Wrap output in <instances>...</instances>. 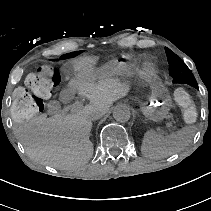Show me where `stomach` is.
<instances>
[{"mask_svg": "<svg viewBox=\"0 0 211 211\" xmlns=\"http://www.w3.org/2000/svg\"><path fill=\"white\" fill-rule=\"evenodd\" d=\"M126 76L130 75L131 71L126 66L104 67L95 71H87L78 76L79 82H89L95 77L103 75ZM152 94L146 105L141 108L143 115L155 122L161 121L167 117V114L172 106L171 97L168 90L159 80H154L151 83Z\"/></svg>", "mask_w": 211, "mask_h": 211, "instance_id": "0dacf381", "label": "stomach"}]
</instances>
